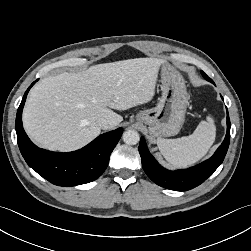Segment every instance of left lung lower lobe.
<instances>
[{"mask_svg": "<svg viewBox=\"0 0 251 251\" xmlns=\"http://www.w3.org/2000/svg\"><path fill=\"white\" fill-rule=\"evenodd\" d=\"M230 126L231 124L227 112V133L223 143L210 159L185 170L170 171L163 168L150 154L145 139L141 137L139 153L145 173L157 185L167 189L187 191L195 188L212 175L223 162L230 141Z\"/></svg>", "mask_w": 251, "mask_h": 251, "instance_id": "1", "label": "left lung lower lobe"}]
</instances>
